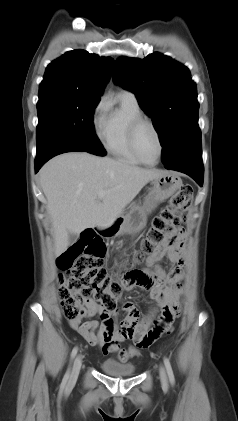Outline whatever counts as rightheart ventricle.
Returning <instances> with one entry per match:
<instances>
[{
	"label": "right heart ventricle",
	"mask_w": 238,
	"mask_h": 421,
	"mask_svg": "<svg viewBox=\"0 0 238 421\" xmlns=\"http://www.w3.org/2000/svg\"><path fill=\"white\" fill-rule=\"evenodd\" d=\"M140 115L142 112L137 100L121 93L118 95L117 105L108 109L100 133L106 150L130 165L141 164L133 154L129 143L130 124Z\"/></svg>",
	"instance_id": "obj_1"
}]
</instances>
